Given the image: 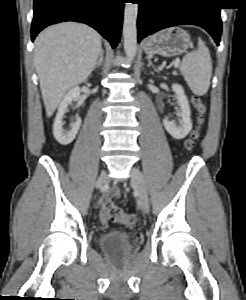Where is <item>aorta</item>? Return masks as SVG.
<instances>
[{
  "label": "aorta",
  "mask_w": 246,
  "mask_h": 300,
  "mask_svg": "<svg viewBox=\"0 0 246 300\" xmlns=\"http://www.w3.org/2000/svg\"><path fill=\"white\" fill-rule=\"evenodd\" d=\"M137 16L138 4L126 3L123 24L124 50L131 60L137 53Z\"/></svg>",
  "instance_id": "obj_1"
}]
</instances>
